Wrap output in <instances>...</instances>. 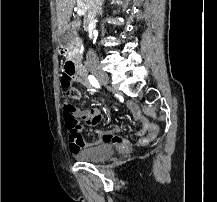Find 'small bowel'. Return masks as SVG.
I'll list each match as a JSON object with an SVG mask.
<instances>
[{"instance_id":"1","label":"small bowel","mask_w":217,"mask_h":202,"mask_svg":"<svg viewBox=\"0 0 217 202\" xmlns=\"http://www.w3.org/2000/svg\"><path fill=\"white\" fill-rule=\"evenodd\" d=\"M69 66V63H66ZM59 90H72L68 97L79 100L82 98V92L76 88L75 85H59ZM128 109L133 114L135 118H139L142 122V128L136 133V140L130 141L128 139H123L118 136L119 126H114L109 132H99V137L96 141L91 144H86V142H70V147H91L93 145H99L101 143L107 144H118L119 148L122 150H129L132 147H142L146 146L157 137L159 127L156 123L147 117L140 116L137 106L129 102ZM76 118L82 120L87 125L91 127H96L103 119L104 113L102 108L99 106H93L87 109L76 108L74 111ZM81 131H70V136H68V141H82Z\"/></svg>"}]
</instances>
